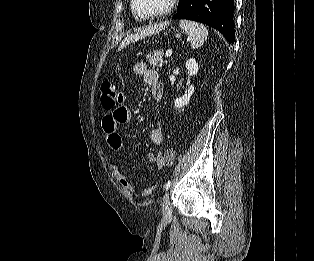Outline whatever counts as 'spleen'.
<instances>
[{
  "label": "spleen",
  "mask_w": 314,
  "mask_h": 261,
  "mask_svg": "<svg viewBox=\"0 0 314 261\" xmlns=\"http://www.w3.org/2000/svg\"><path fill=\"white\" fill-rule=\"evenodd\" d=\"M180 28L190 37L191 47L193 49L201 47L207 40L208 30L203 24L194 21L181 20Z\"/></svg>",
  "instance_id": "obj_1"
}]
</instances>
